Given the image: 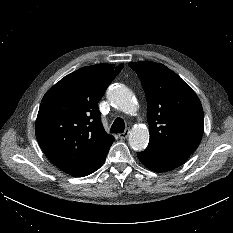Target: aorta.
<instances>
[{"mask_svg": "<svg viewBox=\"0 0 233 233\" xmlns=\"http://www.w3.org/2000/svg\"><path fill=\"white\" fill-rule=\"evenodd\" d=\"M107 99L119 110L133 114L137 110L132 92L120 85L110 86L107 90ZM128 142L135 151H143L149 142V131L145 126H135L129 134Z\"/></svg>", "mask_w": 233, "mask_h": 233, "instance_id": "aorta-1", "label": "aorta"}]
</instances>
